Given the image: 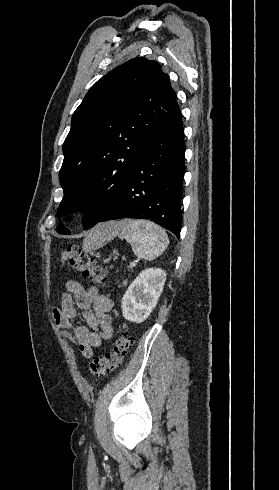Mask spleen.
I'll return each instance as SVG.
<instances>
[{
	"instance_id": "3e777b00",
	"label": "spleen",
	"mask_w": 279,
	"mask_h": 490,
	"mask_svg": "<svg viewBox=\"0 0 279 490\" xmlns=\"http://www.w3.org/2000/svg\"><path fill=\"white\" fill-rule=\"evenodd\" d=\"M117 234L120 240L129 242L137 258H144V260H155L165 252L169 244L165 230L149 220H122L119 222ZM95 238V250H97L100 246H104L105 242H109L113 236L103 234L101 238H98L95 234Z\"/></svg>"
}]
</instances>
